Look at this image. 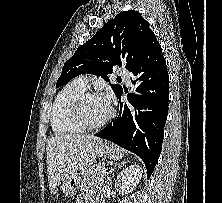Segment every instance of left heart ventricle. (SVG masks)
<instances>
[{"label": "left heart ventricle", "instance_id": "left-heart-ventricle-1", "mask_svg": "<svg viewBox=\"0 0 222 203\" xmlns=\"http://www.w3.org/2000/svg\"><path fill=\"white\" fill-rule=\"evenodd\" d=\"M82 112L88 123L95 124L109 114L110 106L103 97H90L83 103Z\"/></svg>", "mask_w": 222, "mask_h": 203}]
</instances>
